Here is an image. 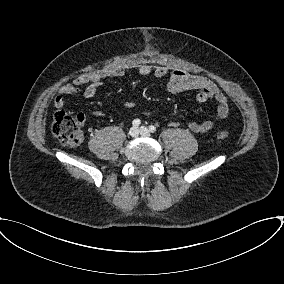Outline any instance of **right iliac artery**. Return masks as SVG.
<instances>
[{
  "label": "right iliac artery",
  "instance_id": "1",
  "mask_svg": "<svg viewBox=\"0 0 284 284\" xmlns=\"http://www.w3.org/2000/svg\"><path fill=\"white\" fill-rule=\"evenodd\" d=\"M133 126L138 127L141 124V121L139 119H135L132 122Z\"/></svg>",
  "mask_w": 284,
  "mask_h": 284
}]
</instances>
